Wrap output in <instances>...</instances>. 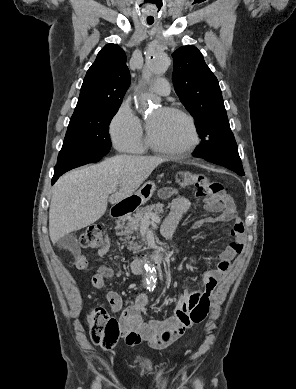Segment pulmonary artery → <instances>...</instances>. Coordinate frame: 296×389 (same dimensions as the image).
Instances as JSON below:
<instances>
[{"instance_id":"1","label":"pulmonary artery","mask_w":296,"mask_h":389,"mask_svg":"<svg viewBox=\"0 0 296 389\" xmlns=\"http://www.w3.org/2000/svg\"><path fill=\"white\" fill-rule=\"evenodd\" d=\"M152 90L159 95H168L170 93L169 82L164 78H158L152 84Z\"/></svg>"}]
</instances>
